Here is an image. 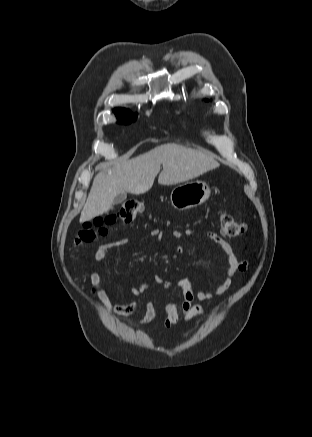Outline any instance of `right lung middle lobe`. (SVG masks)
Wrapping results in <instances>:
<instances>
[{"mask_svg":"<svg viewBox=\"0 0 312 437\" xmlns=\"http://www.w3.org/2000/svg\"><path fill=\"white\" fill-rule=\"evenodd\" d=\"M119 121V123H122V124H129V123H131L132 121H135V118H132V119H126V120H118Z\"/></svg>","mask_w":312,"mask_h":437,"instance_id":"right-lung-middle-lobe-1","label":"right lung middle lobe"}]
</instances>
